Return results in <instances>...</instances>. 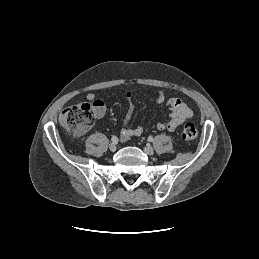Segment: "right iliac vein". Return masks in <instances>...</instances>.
Here are the masks:
<instances>
[{
  "label": "right iliac vein",
  "mask_w": 259,
  "mask_h": 259,
  "mask_svg": "<svg viewBox=\"0 0 259 259\" xmlns=\"http://www.w3.org/2000/svg\"><path fill=\"white\" fill-rule=\"evenodd\" d=\"M116 144L115 143H111L110 145H109V150L111 151V152H114V151H116Z\"/></svg>",
  "instance_id": "1"
}]
</instances>
